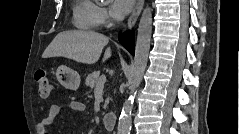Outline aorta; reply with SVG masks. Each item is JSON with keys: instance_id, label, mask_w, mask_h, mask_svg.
<instances>
[{"instance_id": "obj_1", "label": "aorta", "mask_w": 239, "mask_h": 134, "mask_svg": "<svg viewBox=\"0 0 239 134\" xmlns=\"http://www.w3.org/2000/svg\"><path fill=\"white\" fill-rule=\"evenodd\" d=\"M151 35H152V9L149 6H147L142 12L137 30L135 56L131 70V82H130L131 92H133L134 89L138 87L142 81L148 61ZM132 108H133V96L130 95L129 98L125 100L122 107V112L119 118L117 128L118 134H130L132 124L131 119Z\"/></svg>"}]
</instances>
